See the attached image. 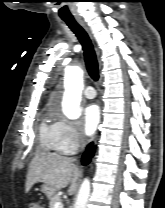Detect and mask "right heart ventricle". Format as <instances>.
Returning a JSON list of instances; mask_svg holds the SVG:
<instances>
[{
  "instance_id": "e07e8e85",
  "label": "right heart ventricle",
  "mask_w": 165,
  "mask_h": 208,
  "mask_svg": "<svg viewBox=\"0 0 165 208\" xmlns=\"http://www.w3.org/2000/svg\"><path fill=\"white\" fill-rule=\"evenodd\" d=\"M40 136L43 146L52 151H58L53 140V124H48L47 120H44L40 126Z\"/></svg>"
}]
</instances>
